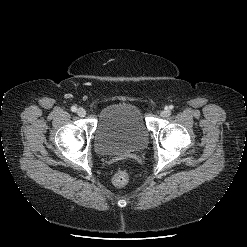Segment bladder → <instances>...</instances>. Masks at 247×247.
<instances>
[{
  "mask_svg": "<svg viewBox=\"0 0 247 247\" xmlns=\"http://www.w3.org/2000/svg\"><path fill=\"white\" fill-rule=\"evenodd\" d=\"M149 130L141 108L132 102H116L100 113L94 147L100 155L137 152L145 148Z\"/></svg>",
  "mask_w": 247,
  "mask_h": 247,
  "instance_id": "1",
  "label": "bladder"
}]
</instances>
